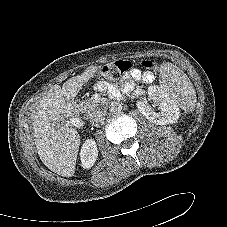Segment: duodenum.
I'll use <instances>...</instances> for the list:
<instances>
[{
  "mask_svg": "<svg viewBox=\"0 0 227 227\" xmlns=\"http://www.w3.org/2000/svg\"><path fill=\"white\" fill-rule=\"evenodd\" d=\"M69 120L75 128H82L84 126V121L75 113L73 108L68 110Z\"/></svg>",
  "mask_w": 227,
  "mask_h": 227,
  "instance_id": "410a0bca",
  "label": "duodenum"
}]
</instances>
